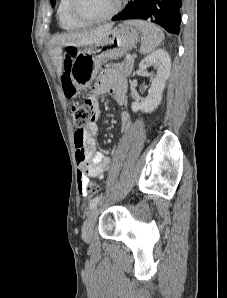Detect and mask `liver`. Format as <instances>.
<instances>
[{
	"instance_id": "obj_1",
	"label": "liver",
	"mask_w": 227,
	"mask_h": 298,
	"mask_svg": "<svg viewBox=\"0 0 227 298\" xmlns=\"http://www.w3.org/2000/svg\"><path fill=\"white\" fill-rule=\"evenodd\" d=\"M112 27L113 23H110L89 31L63 33L53 37L50 40L51 55L57 67L58 76H61L63 69V47H82L96 44L108 34Z\"/></svg>"
}]
</instances>
